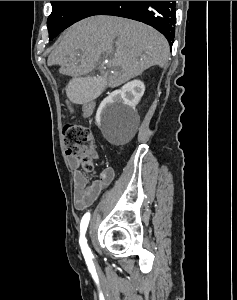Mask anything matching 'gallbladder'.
I'll return each instance as SVG.
<instances>
[{"label":"gallbladder","mask_w":237,"mask_h":300,"mask_svg":"<svg viewBox=\"0 0 237 300\" xmlns=\"http://www.w3.org/2000/svg\"><path fill=\"white\" fill-rule=\"evenodd\" d=\"M104 81V76H70L65 92L73 105H89L103 94Z\"/></svg>","instance_id":"1"}]
</instances>
